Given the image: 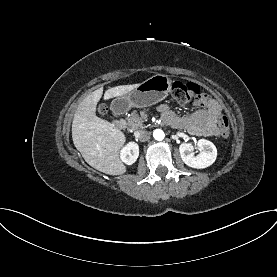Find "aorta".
<instances>
[{"label": "aorta", "mask_w": 277, "mask_h": 277, "mask_svg": "<svg viewBox=\"0 0 277 277\" xmlns=\"http://www.w3.org/2000/svg\"><path fill=\"white\" fill-rule=\"evenodd\" d=\"M153 137L158 140V141H161L164 139L165 137V134L162 130L160 129H156L154 132H153Z\"/></svg>", "instance_id": "aorta-1"}]
</instances>
